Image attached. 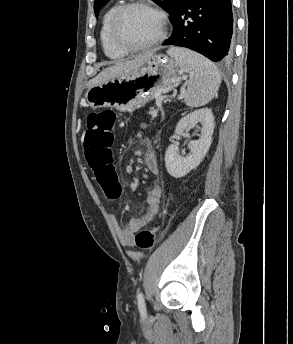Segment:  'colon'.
Here are the masks:
<instances>
[{"instance_id": "5ec220e1", "label": "colon", "mask_w": 293, "mask_h": 344, "mask_svg": "<svg viewBox=\"0 0 293 344\" xmlns=\"http://www.w3.org/2000/svg\"><path fill=\"white\" fill-rule=\"evenodd\" d=\"M117 116L112 110L91 112L86 119L83 142L84 154L106 197L115 200L121 193L117 177L112 169V146ZM157 228L143 229L135 236V245L146 251L156 243Z\"/></svg>"}]
</instances>
